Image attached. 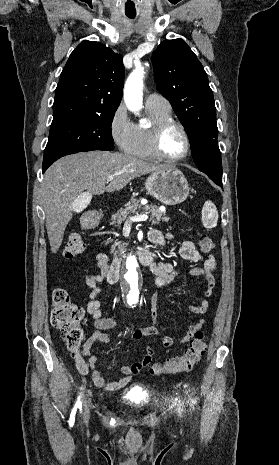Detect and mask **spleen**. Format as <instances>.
I'll use <instances>...</instances> for the list:
<instances>
[{
	"label": "spleen",
	"instance_id": "1",
	"mask_svg": "<svg viewBox=\"0 0 279 465\" xmlns=\"http://www.w3.org/2000/svg\"><path fill=\"white\" fill-rule=\"evenodd\" d=\"M218 212L216 206L211 201H206L202 208V223L205 228L217 226Z\"/></svg>",
	"mask_w": 279,
	"mask_h": 465
}]
</instances>
